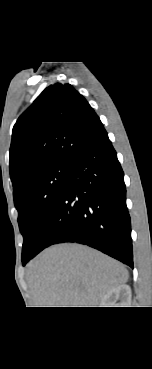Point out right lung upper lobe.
Returning <instances> with one entry per match:
<instances>
[{"mask_svg": "<svg viewBox=\"0 0 152 369\" xmlns=\"http://www.w3.org/2000/svg\"><path fill=\"white\" fill-rule=\"evenodd\" d=\"M105 132L86 99L70 84L48 86L18 118L9 151L10 178L16 193L33 172L70 163Z\"/></svg>", "mask_w": 152, "mask_h": 369, "instance_id": "cb5924a9", "label": "right lung upper lobe"}]
</instances>
